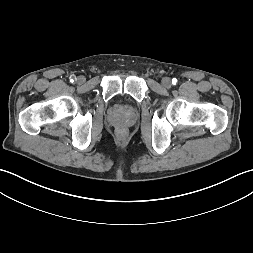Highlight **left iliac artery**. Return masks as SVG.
Returning a JSON list of instances; mask_svg holds the SVG:
<instances>
[{
	"label": "left iliac artery",
	"mask_w": 253,
	"mask_h": 253,
	"mask_svg": "<svg viewBox=\"0 0 253 253\" xmlns=\"http://www.w3.org/2000/svg\"><path fill=\"white\" fill-rule=\"evenodd\" d=\"M176 83H177V79H176V78H173V79H172V84L175 85Z\"/></svg>",
	"instance_id": "obj_1"
}]
</instances>
